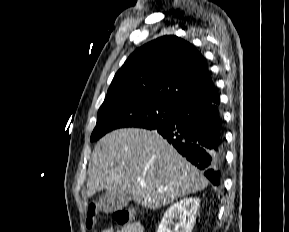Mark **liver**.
Instances as JSON below:
<instances>
[{
	"label": "liver",
	"mask_w": 289,
	"mask_h": 232,
	"mask_svg": "<svg viewBox=\"0 0 289 232\" xmlns=\"http://www.w3.org/2000/svg\"><path fill=\"white\" fill-rule=\"evenodd\" d=\"M88 173L87 197L104 189L128 191L135 203L153 210L208 185L157 131L138 128L118 129L100 139Z\"/></svg>",
	"instance_id": "obj_1"
}]
</instances>
